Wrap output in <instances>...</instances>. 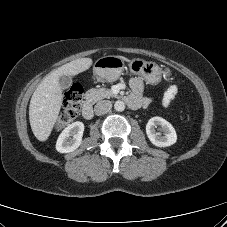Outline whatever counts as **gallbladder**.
<instances>
[{
  "mask_svg": "<svg viewBox=\"0 0 227 227\" xmlns=\"http://www.w3.org/2000/svg\"><path fill=\"white\" fill-rule=\"evenodd\" d=\"M59 83L62 89H67L72 84V79L68 75H62L59 77Z\"/></svg>",
  "mask_w": 227,
  "mask_h": 227,
  "instance_id": "gallbladder-1",
  "label": "gallbladder"
}]
</instances>
